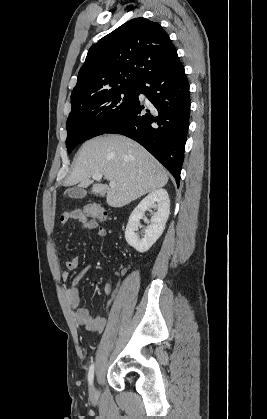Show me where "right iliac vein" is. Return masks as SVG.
I'll list each match as a JSON object with an SVG mask.
<instances>
[{"label": "right iliac vein", "mask_w": 267, "mask_h": 419, "mask_svg": "<svg viewBox=\"0 0 267 419\" xmlns=\"http://www.w3.org/2000/svg\"><path fill=\"white\" fill-rule=\"evenodd\" d=\"M90 395H91V397H96V395H97L96 389L93 385L90 388Z\"/></svg>", "instance_id": "1"}]
</instances>
